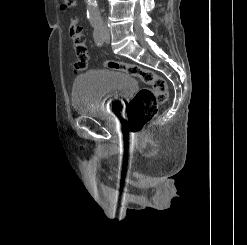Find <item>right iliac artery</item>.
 <instances>
[{
	"instance_id": "obj_1",
	"label": "right iliac artery",
	"mask_w": 247,
	"mask_h": 245,
	"mask_svg": "<svg viewBox=\"0 0 247 245\" xmlns=\"http://www.w3.org/2000/svg\"><path fill=\"white\" fill-rule=\"evenodd\" d=\"M93 37H94V41L97 44V46H102L103 45L104 38H103V28H102V26H97V27L94 28Z\"/></svg>"
}]
</instances>
